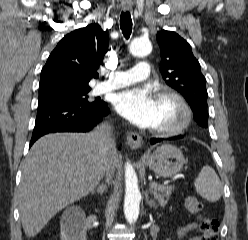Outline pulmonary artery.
Here are the masks:
<instances>
[{
    "mask_svg": "<svg viewBox=\"0 0 248 240\" xmlns=\"http://www.w3.org/2000/svg\"><path fill=\"white\" fill-rule=\"evenodd\" d=\"M150 67L146 61H139L134 68L127 71H115L110 73L108 79L97 84L94 88V94H103L149 77Z\"/></svg>",
    "mask_w": 248,
    "mask_h": 240,
    "instance_id": "obj_1",
    "label": "pulmonary artery"
}]
</instances>
